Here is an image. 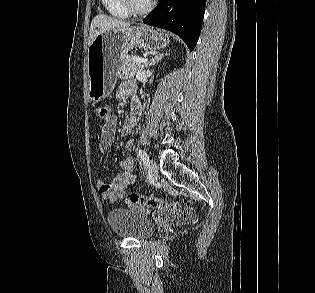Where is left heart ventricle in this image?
<instances>
[{"mask_svg": "<svg viewBox=\"0 0 315 293\" xmlns=\"http://www.w3.org/2000/svg\"><path fill=\"white\" fill-rule=\"evenodd\" d=\"M133 1L135 5L140 8L146 6L150 2V0H133Z\"/></svg>", "mask_w": 315, "mask_h": 293, "instance_id": "obj_1", "label": "left heart ventricle"}]
</instances>
